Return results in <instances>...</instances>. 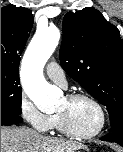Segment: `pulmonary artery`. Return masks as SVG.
Instances as JSON below:
<instances>
[{"instance_id":"obj_1","label":"pulmonary artery","mask_w":123,"mask_h":152,"mask_svg":"<svg viewBox=\"0 0 123 152\" xmlns=\"http://www.w3.org/2000/svg\"><path fill=\"white\" fill-rule=\"evenodd\" d=\"M46 74L50 80L60 85L61 87L67 86V81L63 69L58 63L51 61L46 66Z\"/></svg>"}]
</instances>
